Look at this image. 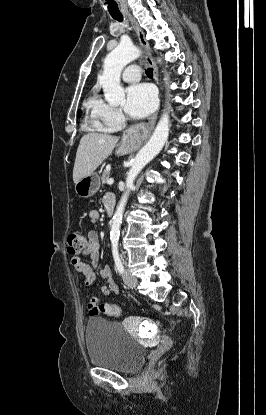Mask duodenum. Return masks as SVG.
Returning a JSON list of instances; mask_svg holds the SVG:
<instances>
[{
    "label": "duodenum",
    "instance_id": "410a0bca",
    "mask_svg": "<svg viewBox=\"0 0 266 415\" xmlns=\"http://www.w3.org/2000/svg\"><path fill=\"white\" fill-rule=\"evenodd\" d=\"M105 206H106V210H107L108 215H111L114 211L115 203L109 202Z\"/></svg>",
    "mask_w": 266,
    "mask_h": 415
}]
</instances>
